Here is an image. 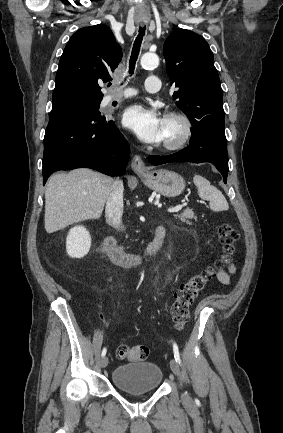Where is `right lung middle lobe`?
Returning <instances> with one entry per match:
<instances>
[{
  "label": "right lung middle lobe",
  "mask_w": 283,
  "mask_h": 433,
  "mask_svg": "<svg viewBox=\"0 0 283 433\" xmlns=\"http://www.w3.org/2000/svg\"><path fill=\"white\" fill-rule=\"evenodd\" d=\"M100 102H101V101L94 102V103H89V104H85V105H83V106H80V107H77V108L71 109V110L66 111V112L57 113V114H53V115L50 114V116H57V115L71 114V113H75V112H79V111H86V110H91V109L98 110V109H99Z\"/></svg>",
  "instance_id": "obj_1"
}]
</instances>
